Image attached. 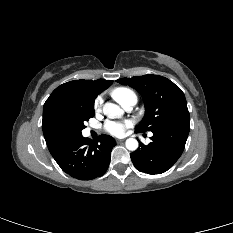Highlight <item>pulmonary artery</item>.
Returning a JSON list of instances; mask_svg holds the SVG:
<instances>
[{"label":"pulmonary artery","instance_id":"obj_1","mask_svg":"<svg viewBox=\"0 0 233 233\" xmlns=\"http://www.w3.org/2000/svg\"><path fill=\"white\" fill-rule=\"evenodd\" d=\"M136 101H129L123 105L124 109L127 111L132 110V108L135 106Z\"/></svg>","mask_w":233,"mask_h":233}]
</instances>
